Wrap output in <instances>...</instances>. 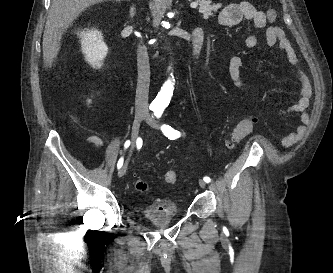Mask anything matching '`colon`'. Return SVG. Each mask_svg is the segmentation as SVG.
I'll list each match as a JSON object with an SVG mask.
<instances>
[{
    "mask_svg": "<svg viewBox=\"0 0 333 273\" xmlns=\"http://www.w3.org/2000/svg\"><path fill=\"white\" fill-rule=\"evenodd\" d=\"M277 16L275 9H269L267 10V18L270 22L275 21ZM256 118L253 116L245 117L242 120H240L236 126L234 127L228 146L230 148H233L236 146L239 142H241L245 137H247L253 130V127L256 124ZM164 180L167 184H174L177 181V174L174 171H167L164 175ZM136 188L140 192H145L147 190V185L143 181H137L136 182Z\"/></svg>",
    "mask_w": 333,
    "mask_h": 273,
    "instance_id": "1",
    "label": "colon"
}]
</instances>
